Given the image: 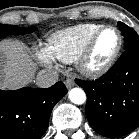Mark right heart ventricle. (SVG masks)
<instances>
[{
	"label": "right heart ventricle",
	"mask_w": 139,
	"mask_h": 139,
	"mask_svg": "<svg viewBox=\"0 0 139 139\" xmlns=\"http://www.w3.org/2000/svg\"><path fill=\"white\" fill-rule=\"evenodd\" d=\"M102 26L84 23L57 31L47 39L46 50L51 57L61 62H76L90 37Z\"/></svg>",
	"instance_id": "e07e8e85"
}]
</instances>
